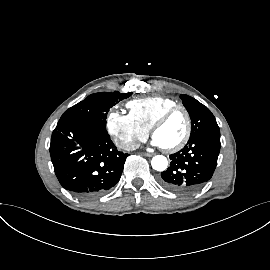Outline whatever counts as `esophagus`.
<instances>
[{
  "label": "esophagus",
  "instance_id": "1",
  "mask_svg": "<svg viewBox=\"0 0 270 270\" xmlns=\"http://www.w3.org/2000/svg\"><path fill=\"white\" fill-rule=\"evenodd\" d=\"M146 157H152L153 154L152 153H143Z\"/></svg>",
  "mask_w": 270,
  "mask_h": 270
}]
</instances>
